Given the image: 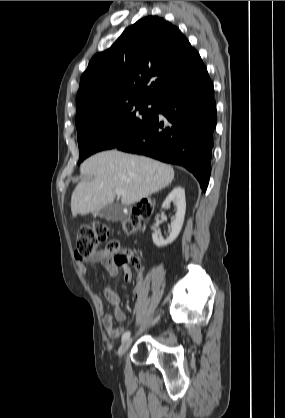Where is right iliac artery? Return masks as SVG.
<instances>
[{
    "instance_id": "1",
    "label": "right iliac artery",
    "mask_w": 285,
    "mask_h": 418,
    "mask_svg": "<svg viewBox=\"0 0 285 418\" xmlns=\"http://www.w3.org/2000/svg\"><path fill=\"white\" fill-rule=\"evenodd\" d=\"M158 319V318H157ZM156 319V320H157ZM130 335H131V332L130 331H126L124 334H123V336H122V341H125L126 339H128L129 337H130Z\"/></svg>"
}]
</instances>
